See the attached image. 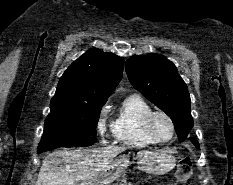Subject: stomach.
Segmentation results:
<instances>
[{"mask_svg":"<svg viewBox=\"0 0 233 185\" xmlns=\"http://www.w3.org/2000/svg\"><path fill=\"white\" fill-rule=\"evenodd\" d=\"M136 159L142 171L154 175L167 174L176 164L175 157L165 151H140ZM128 165V155H122L97 176L75 185H110L114 180L124 176Z\"/></svg>","mask_w":233,"mask_h":185,"instance_id":"0dacf381","label":"stomach"}]
</instances>
